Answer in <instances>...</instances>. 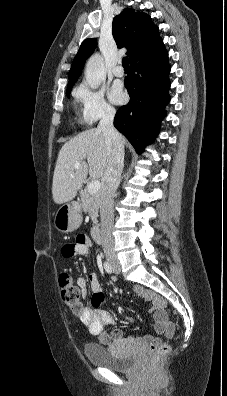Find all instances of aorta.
<instances>
[{
    "label": "aorta",
    "mask_w": 227,
    "mask_h": 396,
    "mask_svg": "<svg viewBox=\"0 0 227 396\" xmlns=\"http://www.w3.org/2000/svg\"><path fill=\"white\" fill-rule=\"evenodd\" d=\"M85 78L92 89H97L106 79L103 57L96 53L92 55L86 64Z\"/></svg>",
    "instance_id": "aorta-1"
}]
</instances>
